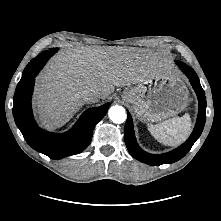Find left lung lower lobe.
<instances>
[{
  "label": "left lung lower lobe",
  "mask_w": 221,
  "mask_h": 221,
  "mask_svg": "<svg viewBox=\"0 0 221 221\" xmlns=\"http://www.w3.org/2000/svg\"><path fill=\"white\" fill-rule=\"evenodd\" d=\"M176 64L182 69L185 75L189 78L191 85L193 86L197 94L199 101V112H198L197 122L192 134L184 144H182L181 146H179L178 148L174 149L171 152L160 155H154L143 151L138 146L134 135L132 118L131 115L128 113V118L124 127L125 144L127 146L129 153L134 158L148 165L157 166L162 164H170L183 158L187 154V152L191 149L195 141L199 138L205 125L206 98L204 90L200 85L199 78L195 73V71L189 66H187L185 63L176 61Z\"/></svg>",
  "instance_id": "0a47b994"
}]
</instances>
